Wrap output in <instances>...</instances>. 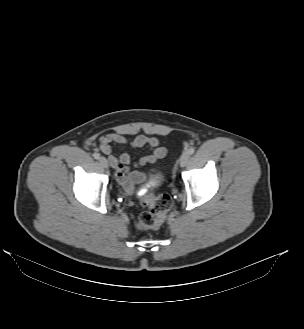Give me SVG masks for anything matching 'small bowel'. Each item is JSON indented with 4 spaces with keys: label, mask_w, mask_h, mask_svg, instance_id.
<instances>
[{
    "label": "small bowel",
    "mask_w": 304,
    "mask_h": 329,
    "mask_svg": "<svg viewBox=\"0 0 304 329\" xmlns=\"http://www.w3.org/2000/svg\"><path fill=\"white\" fill-rule=\"evenodd\" d=\"M126 145L134 149L148 147L152 153L139 158L137 161H133L127 153H123L119 157L113 153L114 146L123 147ZM99 149L108 156L109 164L115 170L117 183L128 195L133 193L136 183H142L147 179L145 173L132 170L131 167H141L146 164L155 166L166 155L165 147L160 145L156 137L143 134L137 135L132 140H129L125 135L120 133L106 134L100 138Z\"/></svg>",
    "instance_id": "obj_1"
}]
</instances>
